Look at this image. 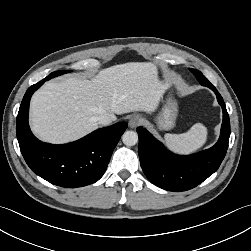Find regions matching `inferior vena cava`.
<instances>
[{
    "mask_svg": "<svg viewBox=\"0 0 251 251\" xmlns=\"http://www.w3.org/2000/svg\"><path fill=\"white\" fill-rule=\"evenodd\" d=\"M97 122L100 125L108 126L112 123V119L109 116L102 115L97 118Z\"/></svg>",
    "mask_w": 251,
    "mask_h": 251,
    "instance_id": "inferior-vena-cava-1",
    "label": "inferior vena cava"
}]
</instances>
